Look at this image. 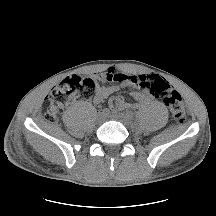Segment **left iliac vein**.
I'll return each mask as SVG.
<instances>
[{
  "mask_svg": "<svg viewBox=\"0 0 216 216\" xmlns=\"http://www.w3.org/2000/svg\"><path fill=\"white\" fill-rule=\"evenodd\" d=\"M111 118L123 123L126 127H130L133 124L132 118L124 113L111 115Z\"/></svg>",
  "mask_w": 216,
  "mask_h": 216,
  "instance_id": "4c4485c4",
  "label": "left iliac vein"
}]
</instances>
